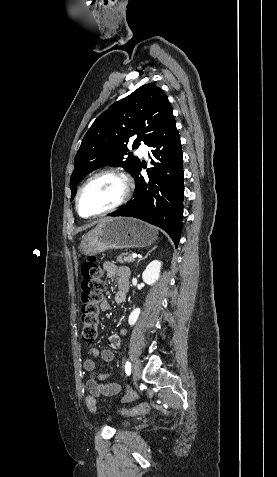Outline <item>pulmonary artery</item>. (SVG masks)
<instances>
[{
	"label": "pulmonary artery",
	"mask_w": 277,
	"mask_h": 477,
	"mask_svg": "<svg viewBox=\"0 0 277 477\" xmlns=\"http://www.w3.org/2000/svg\"><path fill=\"white\" fill-rule=\"evenodd\" d=\"M148 151H149L148 146L145 145V144H141V145L139 146V148L137 149V154H138L139 156L147 157Z\"/></svg>",
	"instance_id": "1"
}]
</instances>
